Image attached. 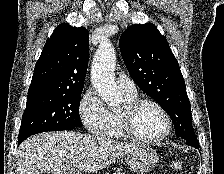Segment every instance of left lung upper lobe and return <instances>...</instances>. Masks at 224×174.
I'll return each instance as SVG.
<instances>
[{"mask_svg":"<svg viewBox=\"0 0 224 174\" xmlns=\"http://www.w3.org/2000/svg\"><path fill=\"white\" fill-rule=\"evenodd\" d=\"M119 46L133 81L171 117L176 134L199 148L185 81L166 39L151 23L129 27Z\"/></svg>","mask_w":224,"mask_h":174,"instance_id":"1","label":"left lung upper lobe"}]
</instances>
